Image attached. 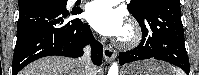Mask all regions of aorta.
Returning <instances> with one entry per match:
<instances>
[{
    "mask_svg": "<svg viewBox=\"0 0 199 75\" xmlns=\"http://www.w3.org/2000/svg\"><path fill=\"white\" fill-rule=\"evenodd\" d=\"M108 75H118V64L113 63L112 66L109 68Z\"/></svg>",
    "mask_w": 199,
    "mask_h": 75,
    "instance_id": "aorta-1",
    "label": "aorta"
}]
</instances>
